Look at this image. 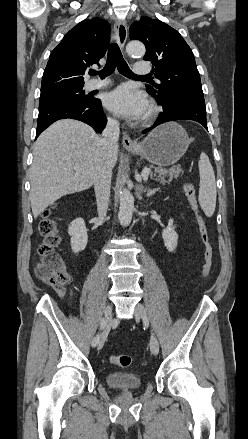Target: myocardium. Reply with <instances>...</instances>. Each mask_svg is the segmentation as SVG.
Returning a JSON list of instances; mask_svg holds the SVG:
<instances>
[{
	"label": "myocardium",
	"mask_w": 248,
	"mask_h": 439,
	"mask_svg": "<svg viewBox=\"0 0 248 439\" xmlns=\"http://www.w3.org/2000/svg\"><path fill=\"white\" fill-rule=\"evenodd\" d=\"M158 114V108L155 105H151L146 113L145 124L151 123Z\"/></svg>",
	"instance_id": "1"
}]
</instances>
